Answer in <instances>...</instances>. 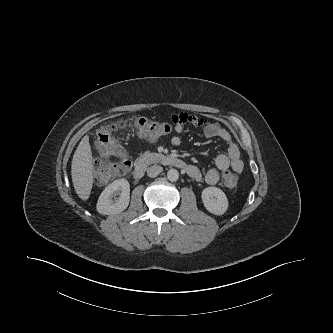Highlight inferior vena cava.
I'll list each match as a JSON object with an SVG mask.
<instances>
[{
  "label": "inferior vena cava",
  "mask_w": 333,
  "mask_h": 333,
  "mask_svg": "<svg viewBox=\"0 0 333 333\" xmlns=\"http://www.w3.org/2000/svg\"><path fill=\"white\" fill-rule=\"evenodd\" d=\"M163 171V168L159 165H152L147 169V175L151 178L156 177Z\"/></svg>",
  "instance_id": "602c4592"
}]
</instances>
